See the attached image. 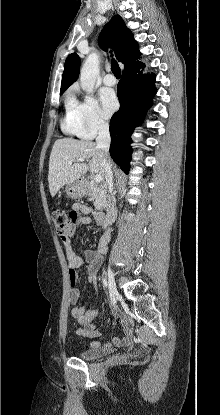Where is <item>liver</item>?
Returning a JSON list of instances; mask_svg holds the SVG:
<instances>
[{
  "mask_svg": "<svg viewBox=\"0 0 220 415\" xmlns=\"http://www.w3.org/2000/svg\"><path fill=\"white\" fill-rule=\"evenodd\" d=\"M89 160V164L77 159ZM72 160V164L68 161ZM90 169L104 177L103 153L92 141L63 138L55 141L49 159L48 183L52 197L64 185L74 183Z\"/></svg>",
  "mask_w": 220,
  "mask_h": 415,
  "instance_id": "6515ba94",
  "label": "liver"
}]
</instances>
